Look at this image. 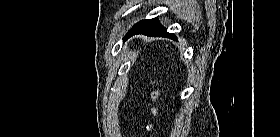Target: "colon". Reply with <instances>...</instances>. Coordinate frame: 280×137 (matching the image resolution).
I'll list each match as a JSON object with an SVG mask.
<instances>
[{
  "mask_svg": "<svg viewBox=\"0 0 280 137\" xmlns=\"http://www.w3.org/2000/svg\"><path fill=\"white\" fill-rule=\"evenodd\" d=\"M152 85H153V91H152V93H151V96H152V100H153V101H156L157 98H158V94H159V91H158V89H157V87H156V80H154V81L152 82ZM152 114H153L154 116L156 115V109H155V108L152 109ZM150 128H152V124H149V125H148V129H150Z\"/></svg>",
  "mask_w": 280,
  "mask_h": 137,
  "instance_id": "colon-1",
  "label": "colon"
}]
</instances>
